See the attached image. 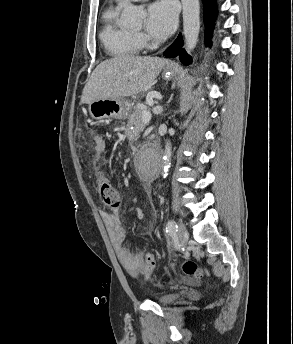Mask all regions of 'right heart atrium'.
<instances>
[{
	"instance_id": "d8ad5b80",
	"label": "right heart atrium",
	"mask_w": 293,
	"mask_h": 344,
	"mask_svg": "<svg viewBox=\"0 0 293 344\" xmlns=\"http://www.w3.org/2000/svg\"><path fill=\"white\" fill-rule=\"evenodd\" d=\"M137 39L142 46L148 43L147 37L142 33H137Z\"/></svg>"
}]
</instances>
